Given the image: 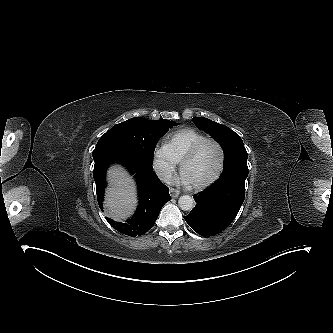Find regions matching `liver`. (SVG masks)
I'll list each match as a JSON object with an SVG mask.
<instances>
[{"label":"liver","mask_w":333,"mask_h":333,"mask_svg":"<svg viewBox=\"0 0 333 333\" xmlns=\"http://www.w3.org/2000/svg\"><path fill=\"white\" fill-rule=\"evenodd\" d=\"M110 187L106 192L105 207L107 216L121 221L132 214L137 198L134 182L120 166L108 170Z\"/></svg>","instance_id":"1"}]
</instances>
